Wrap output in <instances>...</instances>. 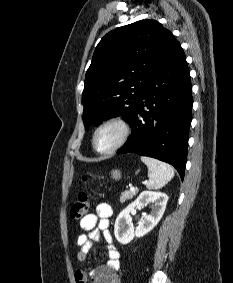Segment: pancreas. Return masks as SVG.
Returning <instances> with one entry per match:
<instances>
[{
    "instance_id": "pancreas-1",
    "label": "pancreas",
    "mask_w": 233,
    "mask_h": 283,
    "mask_svg": "<svg viewBox=\"0 0 233 283\" xmlns=\"http://www.w3.org/2000/svg\"><path fill=\"white\" fill-rule=\"evenodd\" d=\"M136 194H137V191H135V192H132V191L122 192L121 196H120V202L124 203L126 200L132 199L133 196L136 195Z\"/></svg>"
}]
</instances>
